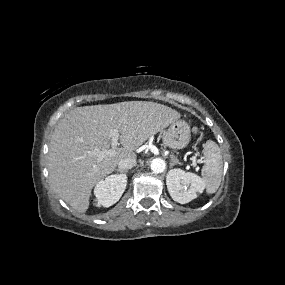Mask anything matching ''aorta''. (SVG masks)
Returning a JSON list of instances; mask_svg holds the SVG:
<instances>
[{"label":"aorta","mask_w":285,"mask_h":285,"mask_svg":"<svg viewBox=\"0 0 285 285\" xmlns=\"http://www.w3.org/2000/svg\"><path fill=\"white\" fill-rule=\"evenodd\" d=\"M151 170L154 173H162L166 168V163L162 158H154L151 161Z\"/></svg>","instance_id":"762f6f07"}]
</instances>
